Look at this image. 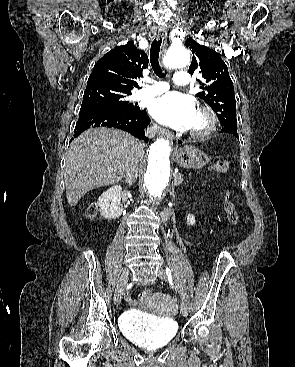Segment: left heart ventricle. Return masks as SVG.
<instances>
[{"label":"left heart ventricle","mask_w":295,"mask_h":367,"mask_svg":"<svg viewBox=\"0 0 295 367\" xmlns=\"http://www.w3.org/2000/svg\"><path fill=\"white\" fill-rule=\"evenodd\" d=\"M204 124H205L204 119L196 114L190 129L194 130L201 129L204 127Z\"/></svg>","instance_id":"1"}]
</instances>
